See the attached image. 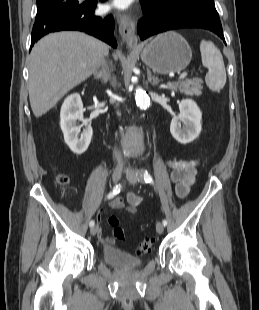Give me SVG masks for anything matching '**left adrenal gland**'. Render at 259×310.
<instances>
[{"label": "left adrenal gland", "instance_id": "obj_1", "mask_svg": "<svg viewBox=\"0 0 259 310\" xmlns=\"http://www.w3.org/2000/svg\"><path fill=\"white\" fill-rule=\"evenodd\" d=\"M147 79L152 86L158 85V83L161 81L157 77L152 76V73L149 69H147Z\"/></svg>", "mask_w": 259, "mask_h": 310}]
</instances>
